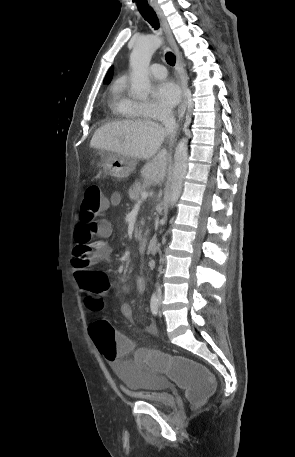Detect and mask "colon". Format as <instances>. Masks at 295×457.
<instances>
[{
  "label": "colon",
  "mask_w": 295,
  "mask_h": 457,
  "mask_svg": "<svg viewBox=\"0 0 295 457\" xmlns=\"http://www.w3.org/2000/svg\"><path fill=\"white\" fill-rule=\"evenodd\" d=\"M109 208L101 188L89 184L80 206L81 222L91 223L107 212ZM89 248L77 247L75 266L84 267ZM110 291V276L101 271H87V292L85 302L91 311H99L103 305L102 293ZM90 335L96 345L98 355L113 363L129 362L134 351L138 360H142L143 372H166L172 383H177L178 390H185L187 399L194 404L204 401L216 389L214 375L203 369L202 363H187L186 357H177L176 351H162L160 346H136L128 341L126 330H114L105 319H97L90 326ZM146 360V363H145ZM165 360V363H161Z\"/></svg>",
  "instance_id": "5ec220e1"
}]
</instances>
